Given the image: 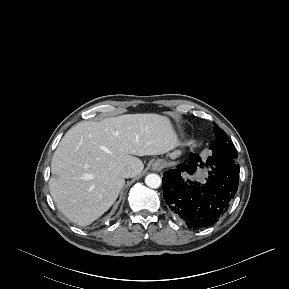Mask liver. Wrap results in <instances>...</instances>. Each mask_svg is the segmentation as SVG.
<instances>
[{
  "label": "liver",
  "instance_id": "1",
  "mask_svg": "<svg viewBox=\"0 0 289 289\" xmlns=\"http://www.w3.org/2000/svg\"><path fill=\"white\" fill-rule=\"evenodd\" d=\"M177 146L169 119L158 114H126L100 122H80L69 129L51 162L50 194L72 222L85 226L116 201L131 169H144L136 156L161 155Z\"/></svg>",
  "mask_w": 289,
  "mask_h": 289
}]
</instances>
